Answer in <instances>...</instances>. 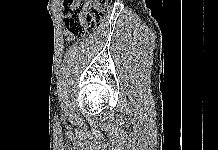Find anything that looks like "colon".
<instances>
[{"mask_svg":"<svg viewBox=\"0 0 218 150\" xmlns=\"http://www.w3.org/2000/svg\"><path fill=\"white\" fill-rule=\"evenodd\" d=\"M110 0H63L62 13L68 31L80 37L100 20Z\"/></svg>","mask_w":218,"mask_h":150,"instance_id":"obj_1","label":"colon"}]
</instances>
